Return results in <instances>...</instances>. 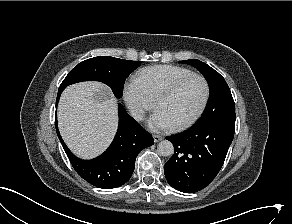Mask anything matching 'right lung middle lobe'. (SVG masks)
<instances>
[{"label":"right lung middle lobe","mask_w":292,"mask_h":224,"mask_svg":"<svg viewBox=\"0 0 292 224\" xmlns=\"http://www.w3.org/2000/svg\"><path fill=\"white\" fill-rule=\"evenodd\" d=\"M141 64L140 61H128L108 56H97L79 63L74 67L60 88L87 80H95L108 85L117 98L122 97L126 78Z\"/></svg>","instance_id":"right-lung-middle-lobe-1"}]
</instances>
